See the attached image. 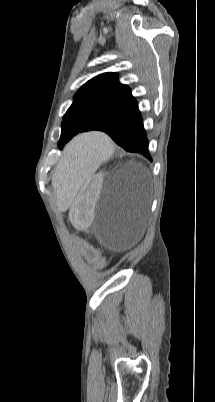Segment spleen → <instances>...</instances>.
<instances>
[{
    "instance_id": "obj_1",
    "label": "spleen",
    "mask_w": 215,
    "mask_h": 402,
    "mask_svg": "<svg viewBox=\"0 0 215 402\" xmlns=\"http://www.w3.org/2000/svg\"><path fill=\"white\" fill-rule=\"evenodd\" d=\"M112 153L109 134L102 128H90L89 133H74L65 159L60 160L59 169L52 170V177L58 178L53 186L54 196L61 197L57 213L67 209L74 202V193H80L84 184L94 181L99 164Z\"/></svg>"
}]
</instances>
